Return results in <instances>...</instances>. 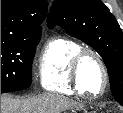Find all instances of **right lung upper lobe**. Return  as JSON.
I'll return each instance as SVG.
<instances>
[{
  "instance_id": "1",
  "label": "right lung upper lobe",
  "mask_w": 123,
  "mask_h": 113,
  "mask_svg": "<svg viewBox=\"0 0 123 113\" xmlns=\"http://www.w3.org/2000/svg\"><path fill=\"white\" fill-rule=\"evenodd\" d=\"M47 0H1V41L40 36Z\"/></svg>"
}]
</instances>
